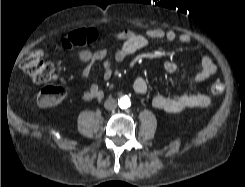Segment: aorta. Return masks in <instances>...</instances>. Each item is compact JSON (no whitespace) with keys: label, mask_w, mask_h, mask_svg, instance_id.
<instances>
[{"label":"aorta","mask_w":245,"mask_h":187,"mask_svg":"<svg viewBox=\"0 0 245 187\" xmlns=\"http://www.w3.org/2000/svg\"><path fill=\"white\" fill-rule=\"evenodd\" d=\"M119 107L122 109H126L130 107L131 102L128 96H123L118 100Z\"/></svg>","instance_id":"aorta-1"}]
</instances>
